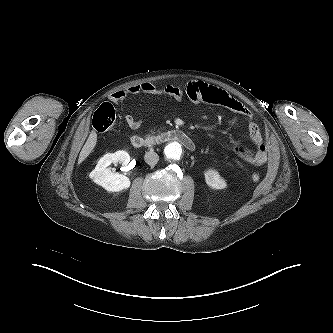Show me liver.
I'll use <instances>...</instances> for the list:
<instances>
[{"label":"liver","mask_w":333,"mask_h":333,"mask_svg":"<svg viewBox=\"0 0 333 333\" xmlns=\"http://www.w3.org/2000/svg\"><path fill=\"white\" fill-rule=\"evenodd\" d=\"M96 142H97V134L95 131H91L85 145L83 146L80 152L78 164H81L89 156V154L96 146Z\"/></svg>","instance_id":"obj_1"}]
</instances>
